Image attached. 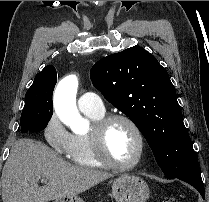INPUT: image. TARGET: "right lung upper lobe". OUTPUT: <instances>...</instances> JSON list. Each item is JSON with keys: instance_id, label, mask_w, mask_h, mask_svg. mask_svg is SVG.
<instances>
[{"instance_id": "right-lung-upper-lobe-1", "label": "right lung upper lobe", "mask_w": 209, "mask_h": 202, "mask_svg": "<svg viewBox=\"0 0 209 202\" xmlns=\"http://www.w3.org/2000/svg\"><path fill=\"white\" fill-rule=\"evenodd\" d=\"M42 78L53 79L57 81L56 69L52 65H47L40 73L35 76V81ZM56 84V83H55Z\"/></svg>"}]
</instances>
